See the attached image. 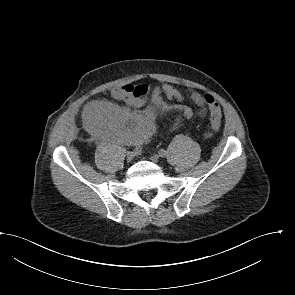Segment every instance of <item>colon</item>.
I'll list each match as a JSON object with an SVG mask.
<instances>
[{
    "label": "colon",
    "instance_id": "colon-1",
    "mask_svg": "<svg viewBox=\"0 0 295 295\" xmlns=\"http://www.w3.org/2000/svg\"><path fill=\"white\" fill-rule=\"evenodd\" d=\"M206 104L209 107L210 110V120L213 123H218L221 121L222 114H221V108L219 104L216 102L213 96L206 94L204 95Z\"/></svg>",
    "mask_w": 295,
    "mask_h": 295
}]
</instances>
